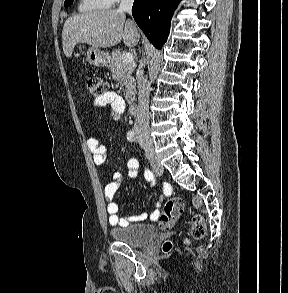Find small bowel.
Instances as JSON below:
<instances>
[{"mask_svg":"<svg viewBox=\"0 0 288 293\" xmlns=\"http://www.w3.org/2000/svg\"><path fill=\"white\" fill-rule=\"evenodd\" d=\"M94 106L97 108H107L110 115L113 118H119L125 110V102L116 92L107 91L100 98L95 99ZM88 147L91 151L93 161L96 165H101L106 160L108 155V147L102 144L96 137H90L87 141ZM128 174L130 177H135L140 168V162L136 158H130L127 162ZM145 178L152 182L153 176L147 169L144 170ZM114 181L108 183L104 188V197L107 204L108 222L111 226H128L132 222L144 221L147 219V214L142 213L140 215H130L120 217L118 215L119 207L117 203L113 201L115 194L119 188L122 174L115 172L113 175ZM165 190H167L165 188ZM161 205V199L156 202V207ZM159 216V210L156 209L151 214L152 220H157Z\"/></svg>","mask_w":288,"mask_h":293,"instance_id":"obj_1","label":"small bowel"}]
</instances>
